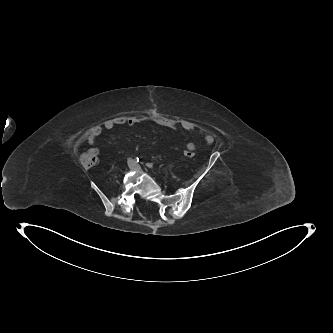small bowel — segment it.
Returning a JSON list of instances; mask_svg holds the SVG:
<instances>
[{
  "label": "small bowel",
  "instance_id": "small-bowel-1",
  "mask_svg": "<svg viewBox=\"0 0 333 333\" xmlns=\"http://www.w3.org/2000/svg\"><path fill=\"white\" fill-rule=\"evenodd\" d=\"M141 122L139 118L136 117H128V118H115L107 120L103 123L102 126H96L93 129H91L86 137V140L89 144H94L97 138L102 134L103 129L111 130L117 125H129L134 126ZM155 123L158 124L161 127L174 129L177 125H179L183 130L187 132H195L197 131L199 135L201 136L202 140L206 144H211L213 142V137L204 131L203 129L199 128L195 123H192L190 121H181L179 123L175 122L174 120L167 119V118H159L155 120ZM186 149L195 150V143L189 142L186 145ZM185 149V150H186ZM92 151L97 155L99 153V150L97 148H93Z\"/></svg>",
  "mask_w": 333,
  "mask_h": 333
}]
</instances>
